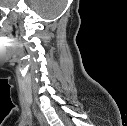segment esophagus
<instances>
[{"mask_svg":"<svg viewBox=\"0 0 127 126\" xmlns=\"http://www.w3.org/2000/svg\"><path fill=\"white\" fill-rule=\"evenodd\" d=\"M37 118L41 126H47L45 118L40 113L37 114Z\"/></svg>","mask_w":127,"mask_h":126,"instance_id":"esophagus-1","label":"esophagus"}]
</instances>
